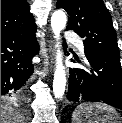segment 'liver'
Segmentation results:
<instances>
[{
    "label": "liver",
    "mask_w": 122,
    "mask_h": 123,
    "mask_svg": "<svg viewBox=\"0 0 122 123\" xmlns=\"http://www.w3.org/2000/svg\"><path fill=\"white\" fill-rule=\"evenodd\" d=\"M24 118L12 107L1 105V123H23Z\"/></svg>",
    "instance_id": "1"
}]
</instances>
